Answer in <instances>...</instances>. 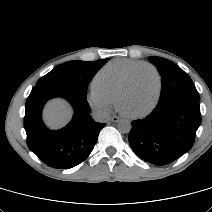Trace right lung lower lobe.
<instances>
[{
    "instance_id": "obj_1",
    "label": "right lung lower lobe",
    "mask_w": 212,
    "mask_h": 212,
    "mask_svg": "<svg viewBox=\"0 0 212 212\" xmlns=\"http://www.w3.org/2000/svg\"><path fill=\"white\" fill-rule=\"evenodd\" d=\"M55 97L69 101L75 113L66 127L52 131L44 125L41 115L45 103ZM90 112L85 95L63 88L34 87L27 98L24 116L29 149L50 167L69 169L77 166L89 156L105 126L95 122Z\"/></svg>"
}]
</instances>
